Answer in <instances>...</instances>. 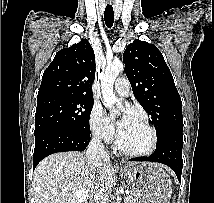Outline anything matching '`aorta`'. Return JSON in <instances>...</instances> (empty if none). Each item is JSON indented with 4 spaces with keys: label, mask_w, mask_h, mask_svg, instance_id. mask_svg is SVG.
<instances>
[{
    "label": "aorta",
    "mask_w": 214,
    "mask_h": 203,
    "mask_svg": "<svg viewBox=\"0 0 214 203\" xmlns=\"http://www.w3.org/2000/svg\"><path fill=\"white\" fill-rule=\"evenodd\" d=\"M123 69L124 64L119 60H115L107 65L105 72L101 77V91L104 105L113 112L117 111L115 104L118 102L114 94L113 85L117 76Z\"/></svg>",
    "instance_id": "1"
}]
</instances>
